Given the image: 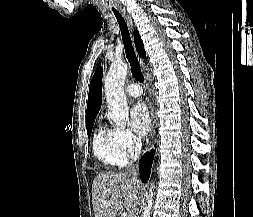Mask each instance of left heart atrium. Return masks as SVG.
Here are the masks:
<instances>
[{"mask_svg":"<svg viewBox=\"0 0 253 217\" xmlns=\"http://www.w3.org/2000/svg\"><path fill=\"white\" fill-rule=\"evenodd\" d=\"M129 123L132 130L139 136H145L149 131L151 120L144 103L137 102L130 110Z\"/></svg>","mask_w":253,"mask_h":217,"instance_id":"39dd6f15","label":"left heart atrium"}]
</instances>
